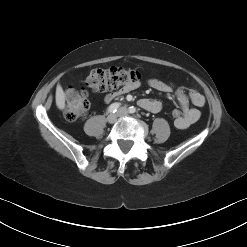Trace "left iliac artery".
<instances>
[{
	"label": "left iliac artery",
	"instance_id": "left-iliac-artery-1",
	"mask_svg": "<svg viewBox=\"0 0 247 247\" xmlns=\"http://www.w3.org/2000/svg\"><path fill=\"white\" fill-rule=\"evenodd\" d=\"M129 113L133 114L136 112V108L134 106L129 107Z\"/></svg>",
	"mask_w": 247,
	"mask_h": 247
}]
</instances>
